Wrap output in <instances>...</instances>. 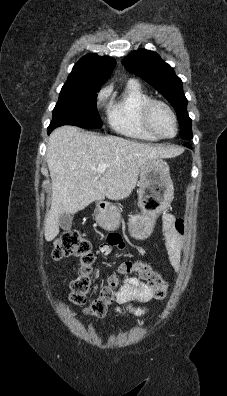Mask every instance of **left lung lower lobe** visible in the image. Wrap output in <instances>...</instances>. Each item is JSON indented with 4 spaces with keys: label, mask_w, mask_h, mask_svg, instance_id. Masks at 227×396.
Listing matches in <instances>:
<instances>
[{
    "label": "left lung lower lobe",
    "mask_w": 227,
    "mask_h": 396,
    "mask_svg": "<svg viewBox=\"0 0 227 396\" xmlns=\"http://www.w3.org/2000/svg\"><path fill=\"white\" fill-rule=\"evenodd\" d=\"M187 147L191 148L189 144H186Z\"/></svg>",
    "instance_id": "left-lung-lower-lobe-1"
}]
</instances>
